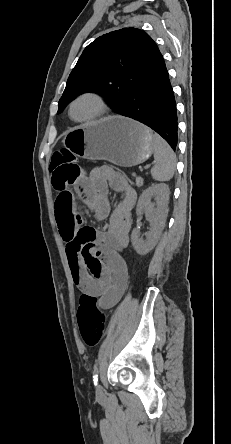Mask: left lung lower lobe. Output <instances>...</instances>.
<instances>
[{"mask_svg": "<svg viewBox=\"0 0 231 444\" xmlns=\"http://www.w3.org/2000/svg\"><path fill=\"white\" fill-rule=\"evenodd\" d=\"M118 114L147 125L160 134L173 150L176 149V102L160 52L141 72L126 104Z\"/></svg>", "mask_w": 231, "mask_h": 444, "instance_id": "1", "label": "left lung lower lobe"}]
</instances>
